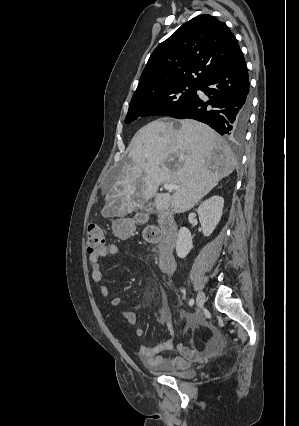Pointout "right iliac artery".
Wrapping results in <instances>:
<instances>
[{"instance_id":"right-iliac-artery-1","label":"right iliac artery","mask_w":299,"mask_h":426,"mask_svg":"<svg viewBox=\"0 0 299 426\" xmlns=\"http://www.w3.org/2000/svg\"><path fill=\"white\" fill-rule=\"evenodd\" d=\"M193 304H194V299H193V298H191V299L189 300V306H193Z\"/></svg>"}]
</instances>
